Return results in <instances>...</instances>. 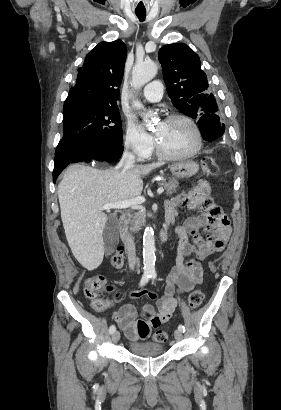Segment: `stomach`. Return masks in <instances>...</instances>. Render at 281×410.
<instances>
[{
  "instance_id": "1",
  "label": "stomach",
  "mask_w": 281,
  "mask_h": 410,
  "mask_svg": "<svg viewBox=\"0 0 281 410\" xmlns=\"http://www.w3.org/2000/svg\"><path fill=\"white\" fill-rule=\"evenodd\" d=\"M199 170V165L192 161H182L171 165L170 171L177 178H188L195 175Z\"/></svg>"
}]
</instances>
